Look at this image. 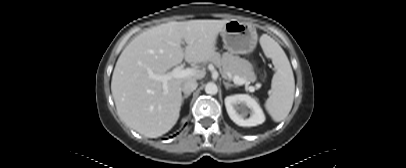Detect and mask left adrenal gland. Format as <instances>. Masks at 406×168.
<instances>
[{"mask_svg": "<svg viewBox=\"0 0 406 168\" xmlns=\"http://www.w3.org/2000/svg\"><path fill=\"white\" fill-rule=\"evenodd\" d=\"M223 84L226 89H229L230 87H237V85H234V84H231V83L225 82V81H223Z\"/></svg>", "mask_w": 406, "mask_h": 168, "instance_id": "left-adrenal-gland-1", "label": "left adrenal gland"}]
</instances>
